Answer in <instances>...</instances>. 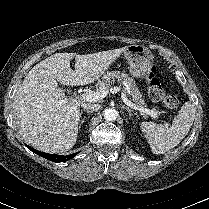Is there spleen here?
Masks as SVG:
<instances>
[{"label": "spleen", "mask_w": 209, "mask_h": 209, "mask_svg": "<svg viewBox=\"0 0 209 209\" xmlns=\"http://www.w3.org/2000/svg\"><path fill=\"white\" fill-rule=\"evenodd\" d=\"M195 118V108L185 102L170 127L153 122H142L141 129L154 154H163L177 146L188 134Z\"/></svg>", "instance_id": "3e777b00"}]
</instances>
